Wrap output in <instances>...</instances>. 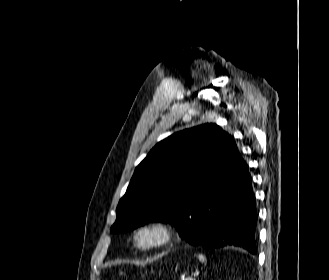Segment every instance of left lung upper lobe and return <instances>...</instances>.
Listing matches in <instances>:
<instances>
[{
  "label": "left lung upper lobe",
  "instance_id": "left-lung-upper-lobe-1",
  "mask_svg": "<svg viewBox=\"0 0 329 280\" xmlns=\"http://www.w3.org/2000/svg\"><path fill=\"white\" fill-rule=\"evenodd\" d=\"M237 154L233 138L212 123L159 142L136 168L110 232L130 231L148 220L170 222L177 229L195 221L201 203L227 186Z\"/></svg>",
  "mask_w": 329,
  "mask_h": 280
}]
</instances>
